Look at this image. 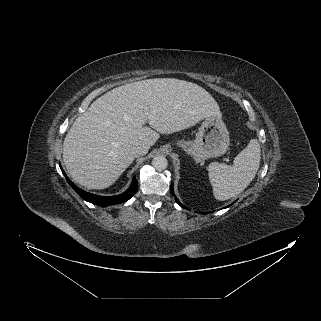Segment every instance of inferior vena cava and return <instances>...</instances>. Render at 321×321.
I'll list each match as a JSON object with an SVG mask.
<instances>
[{"label":"inferior vena cava","mask_w":321,"mask_h":321,"mask_svg":"<svg viewBox=\"0 0 321 321\" xmlns=\"http://www.w3.org/2000/svg\"><path fill=\"white\" fill-rule=\"evenodd\" d=\"M149 148L150 147L147 144L139 143L132 147L131 152L134 157H139L145 155L148 152Z\"/></svg>","instance_id":"inferior-vena-cava-1"}]
</instances>
